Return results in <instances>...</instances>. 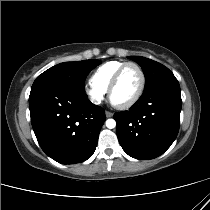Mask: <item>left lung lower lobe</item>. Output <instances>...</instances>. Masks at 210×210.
<instances>
[{
	"instance_id": "obj_1",
	"label": "left lung lower lobe",
	"mask_w": 210,
	"mask_h": 210,
	"mask_svg": "<svg viewBox=\"0 0 210 210\" xmlns=\"http://www.w3.org/2000/svg\"><path fill=\"white\" fill-rule=\"evenodd\" d=\"M181 106L180 86L175 77L145 89L129 111L114 114L123 150L140 160L163 154L178 134Z\"/></svg>"
}]
</instances>
